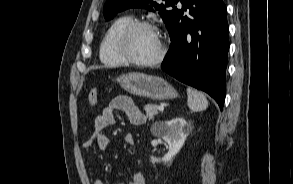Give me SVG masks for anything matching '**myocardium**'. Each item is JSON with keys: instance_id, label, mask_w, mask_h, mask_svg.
<instances>
[{"instance_id": "1", "label": "myocardium", "mask_w": 293, "mask_h": 184, "mask_svg": "<svg viewBox=\"0 0 293 184\" xmlns=\"http://www.w3.org/2000/svg\"><path fill=\"white\" fill-rule=\"evenodd\" d=\"M138 28H148L156 33L159 38V52L151 60H137L133 58L126 49V43L130 34ZM115 49L117 54L123 59L126 63H130L136 66L141 67H151L161 63L167 52V45L162 35L160 29L153 23L146 20H133L127 25H125L120 32L118 33L115 40Z\"/></svg>"}]
</instances>
